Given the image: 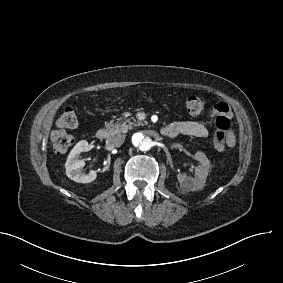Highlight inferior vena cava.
<instances>
[{
  "label": "inferior vena cava",
  "instance_id": "obj_1",
  "mask_svg": "<svg viewBox=\"0 0 283 283\" xmlns=\"http://www.w3.org/2000/svg\"><path fill=\"white\" fill-rule=\"evenodd\" d=\"M125 137L122 135L110 136L106 140V145L110 147H119L123 144Z\"/></svg>",
  "mask_w": 283,
  "mask_h": 283
}]
</instances>
